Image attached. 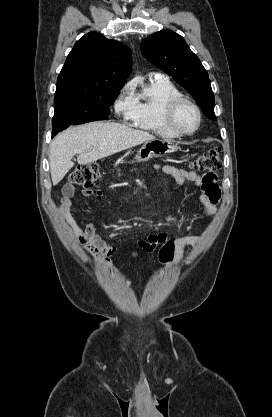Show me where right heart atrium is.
Returning a JSON list of instances; mask_svg holds the SVG:
<instances>
[{
	"label": "right heart atrium",
	"mask_w": 272,
	"mask_h": 417,
	"mask_svg": "<svg viewBox=\"0 0 272 417\" xmlns=\"http://www.w3.org/2000/svg\"><path fill=\"white\" fill-rule=\"evenodd\" d=\"M129 90H130V85L127 84L117 95L113 103L115 114L125 119H129L132 109H133L132 98L128 96Z\"/></svg>",
	"instance_id": "d8ad5b80"
}]
</instances>
